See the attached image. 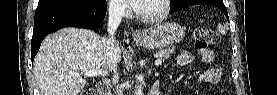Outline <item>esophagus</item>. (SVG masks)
<instances>
[{
    "mask_svg": "<svg viewBox=\"0 0 277 95\" xmlns=\"http://www.w3.org/2000/svg\"><path fill=\"white\" fill-rule=\"evenodd\" d=\"M133 38L134 39H140V38H142L143 36H144V33L141 31V30H135L134 32H133Z\"/></svg>",
    "mask_w": 277,
    "mask_h": 95,
    "instance_id": "1",
    "label": "esophagus"
}]
</instances>
